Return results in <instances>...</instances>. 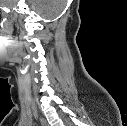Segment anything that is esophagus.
<instances>
[{"mask_svg":"<svg viewBox=\"0 0 127 126\" xmlns=\"http://www.w3.org/2000/svg\"><path fill=\"white\" fill-rule=\"evenodd\" d=\"M39 119L42 126H47V123L44 118L40 117Z\"/></svg>","mask_w":127,"mask_h":126,"instance_id":"obj_1","label":"esophagus"}]
</instances>
